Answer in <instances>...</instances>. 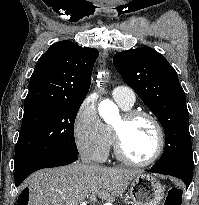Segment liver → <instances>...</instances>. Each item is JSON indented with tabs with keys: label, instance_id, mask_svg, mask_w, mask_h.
I'll use <instances>...</instances> for the list:
<instances>
[{
	"label": "liver",
	"instance_id": "liver-1",
	"mask_svg": "<svg viewBox=\"0 0 199 205\" xmlns=\"http://www.w3.org/2000/svg\"><path fill=\"white\" fill-rule=\"evenodd\" d=\"M140 173L84 163L43 169L27 179L29 205H81L92 195L113 202Z\"/></svg>",
	"mask_w": 199,
	"mask_h": 205
}]
</instances>
